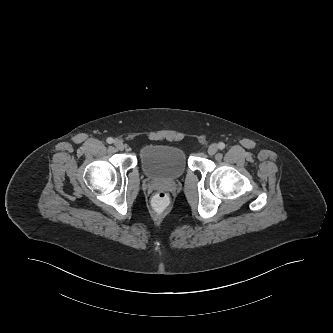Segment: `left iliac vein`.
Masks as SVG:
<instances>
[{"instance_id": "4c4485c4", "label": "left iliac vein", "mask_w": 333, "mask_h": 333, "mask_svg": "<svg viewBox=\"0 0 333 333\" xmlns=\"http://www.w3.org/2000/svg\"><path fill=\"white\" fill-rule=\"evenodd\" d=\"M218 151V146L216 144H211L208 147V154L209 155H214Z\"/></svg>"}]
</instances>
